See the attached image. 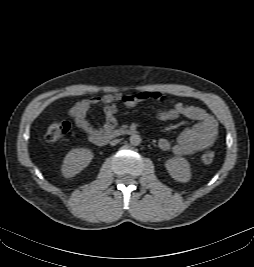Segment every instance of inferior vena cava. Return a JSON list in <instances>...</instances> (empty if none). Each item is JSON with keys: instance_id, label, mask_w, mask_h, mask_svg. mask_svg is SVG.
Masks as SVG:
<instances>
[{"instance_id": "602c4592", "label": "inferior vena cava", "mask_w": 254, "mask_h": 267, "mask_svg": "<svg viewBox=\"0 0 254 267\" xmlns=\"http://www.w3.org/2000/svg\"><path fill=\"white\" fill-rule=\"evenodd\" d=\"M118 142H119V140L116 139V140L111 141L110 144H111L112 146H114V145H116Z\"/></svg>"}]
</instances>
